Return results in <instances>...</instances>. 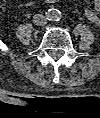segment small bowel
I'll return each mask as SVG.
<instances>
[{"mask_svg":"<svg viewBox=\"0 0 100 118\" xmlns=\"http://www.w3.org/2000/svg\"><path fill=\"white\" fill-rule=\"evenodd\" d=\"M49 2H56L58 0H47ZM95 7L97 11L100 13V0H95ZM93 9L87 8L85 9V15L88 18L89 21H91L93 24L98 25L100 23V15Z\"/></svg>","mask_w":100,"mask_h":118,"instance_id":"small-bowel-1","label":"small bowel"}]
</instances>
